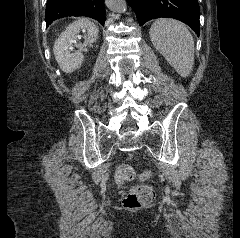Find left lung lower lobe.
<instances>
[{
    "instance_id": "1",
    "label": "left lung lower lobe",
    "mask_w": 240,
    "mask_h": 238,
    "mask_svg": "<svg viewBox=\"0 0 240 238\" xmlns=\"http://www.w3.org/2000/svg\"><path fill=\"white\" fill-rule=\"evenodd\" d=\"M139 25L154 18H174L190 26L200 35L198 0H127Z\"/></svg>"
}]
</instances>
